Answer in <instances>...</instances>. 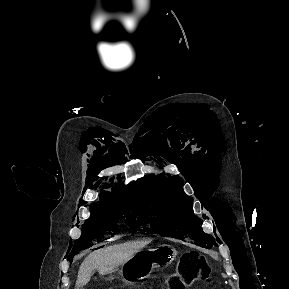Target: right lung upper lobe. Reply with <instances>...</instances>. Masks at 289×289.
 Returning a JSON list of instances; mask_svg holds the SVG:
<instances>
[{"instance_id":"1","label":"right lung upper lobe","mask_w":289,"mask_h":289,"mask_svg":"<svg viewBox=\"0 0 289 289\" xmlns=\"http://www.w3.org/2000/svg\"><path fill=\"white\" fill-rule=\"evenodd\" d=\"M133 203L136 205V199L133 189L127 187H122L116 185L113 187L112 191H103L100 194V201L96 202L93 205H112L118 203Z\"/></svg>"}]
</instances>
